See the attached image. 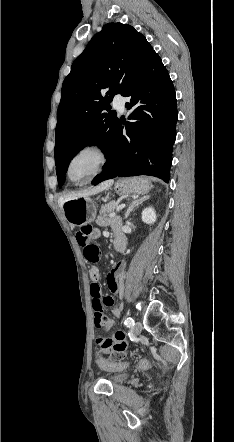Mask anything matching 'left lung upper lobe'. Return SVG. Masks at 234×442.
<instances>
[{
    "instance_id": "5c2ea615",
    "label": "left lung upper lobe",
    "mask_w": 234,
    "mask_h": 442,
    "mask_svg": "<svg viewBox=\"0 0 234 442\" xmlns=\"http://www.w3.org/2000/svg\"><path fill=\"white\" fill-rule=\"evenodd\" d=\"M155 51L132 26L109 23L75 59L62 85L55 133V164L61 187L71 159L85 146L98 145L108 156L119 125L110 110ZM104 95V97L102 96Z\"/></svg>"
}]
</instances>
